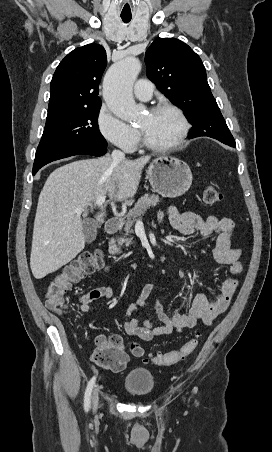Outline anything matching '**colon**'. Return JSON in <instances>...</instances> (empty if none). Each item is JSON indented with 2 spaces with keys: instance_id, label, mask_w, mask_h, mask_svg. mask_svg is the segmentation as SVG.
Listing matches in <instances>:
<instances>
[{
  "instance_id": "obj_1",
  "label": "colon",
  "mask_w": 272,
  "mask_h": 452,
  "mask_svg": "<svg viewBox=\"0 0 272 452\" xmlns=\"http://www.w3.org/2000/svg\"><path fill=\"white\" fill-rule=\"evenodd\" d=\"M202 200L206 206L212 207L222 202L223 195L215 185H207L203 189ZM103 267V255L99 252L83 254L77 260L71 262L46 288V306L57 314L65 312L68 306L63 296L67 289L87 274ZM198 344V338H192L177 350L157 353L151 357V361L158 366L178 363L189 357L197 349ZM130 352L132 355L140 357L144 354V349L138 342H131ZM127 359V353L122 348V343L119 339L112 337L111 339L102 338L97 341L93 360L98 366L106 370L118 371L124 368Z\"/></svg>"
}]
</instances>
